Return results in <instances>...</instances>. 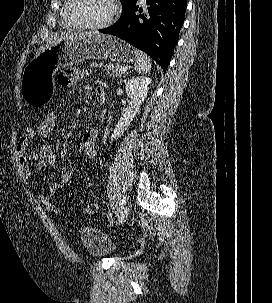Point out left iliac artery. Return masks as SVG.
<instances>
[{"mask_svg":"<svg viewBox=\"0 0 272 303\" xmlns=\"http://www.w3.org/2000/svg\"><path fill=\"white\" fill-rule=\"evenodd\" d=\"M119 213H120V209L119 210H117V212L114 214V217L115 218H118L119 217ZM117 220V219H116ZM114 223V222H113Z\"/></svg>","mask_w":272,"mask_h":303,"instance_id":"44dca946","label":"left iliac artery"}]
</instances>
